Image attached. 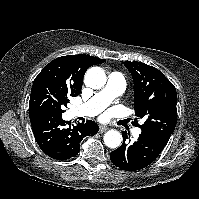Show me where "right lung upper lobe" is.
Wrapping results in <instances>:
<instances>
[{
    "label": "right lung upper lobe",
    "mask_w": 199,
    "mask_h": 199,
    "mask_svg": "<svg viewBox=\"0 0 199 199\" xmlns=\"http://www.w3.org/2000/svg\"><path fill=\"white\" fill-rule=\"evenodd\" d=\"M106 60L89 55H69L54 59L47 64L35 78L33 86H55L68 96L80 94L83 77L92 65L104 63Z\"/></svg>",
    "instance_id": "cb5924a9"
}]
</instances>
